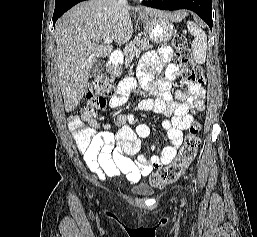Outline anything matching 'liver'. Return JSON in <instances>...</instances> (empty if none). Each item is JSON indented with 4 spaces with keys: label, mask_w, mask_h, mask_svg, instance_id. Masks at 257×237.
Instances as JSON below:
<instances>
[{
    "label": "liver",
    "mask_w": 257,
    "mask_h": 237,
    "mask_svg": "<svg viewBox=\"0 0 257 237\" xmlns=\"http://www.w3.org/2000/svg\"><path fill=\"white\" fill-rule=\"evenodd\" d=\"M131 9L118 4L117 0H89L74 6L57 21L58 75L66 112L74 110L83 98L96 58L106 57L111 52L110 44H103L102 40L110 37L122 44L132 37ZM144 10L174 22L183 18L181 13Z\"/></svg>",
    "instance_id": "1"
}]
</instances>
